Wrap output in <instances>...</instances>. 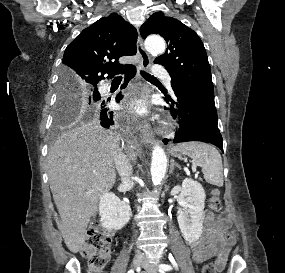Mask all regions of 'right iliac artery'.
I'll return each instance as SVG.
<instances>
[{"mask_svg":"<svg viewBox=\"0 0 285 273\" xmlns=\"http://www.w3.org/2000/svg\"><path fill=\"white\" fill-rule=\"evenodd\" d=\"M128 273H134V270H133V269H131V270H129V271H128Z\"/></svg>","mask_w":285,"mask_h":273,"instance_id":"right-iliac-artery-1","label":"right iliac artery"}]
</instances>
